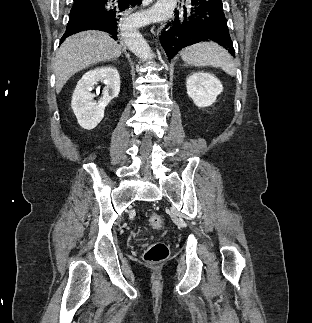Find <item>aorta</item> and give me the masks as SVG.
<instances>
[{
  "mask_svg": "<svg viewBox=\"0 0 312 323\" xmlns=\"http://www.w3.org/2000/svg\"><path fill=\"white\" fill-rule=\"evenodd\" d=\"M124 38L125 44H127L129 50H131L137 58H141V60H145V62L154 58V54H152L149 44H147L143 36L139 34L138 30H130L128 34H124Z\"/></svg>",
  "mask_w": 312,
  "mask_h": 323,
  "instance_id": "762f6f07",
  "label": "aorta"
}]
</instances>
